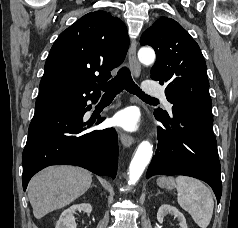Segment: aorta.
<instances>
[{
	"mask_svg": "<svg viewBox=\"0 0 238 228\" xmlns=\"http://www.w3.org/2000/svg\"><path fill=\"white\" fill-rule=\"evenodd\" d=\"M155 58V52L151 47H143L138 51L139 61L146 66L153 64ZM152 153L153 145L148 140H144L139 144L129 166L128 183L130 185H134L139 180L145 170V167L151 160Z\"/></svg>",
	"mask_w": 238,
	"mask_h": 228,
	"instance_id": "762f6f07",
	"label": "aorta"
}]
</instances>
